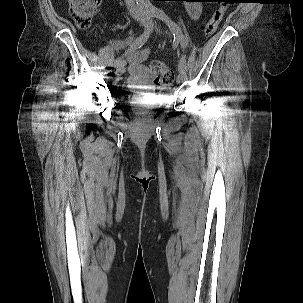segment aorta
<instances>
[{
	"label": "aorta",
	"instance_id": "aorta-1",
	"mask_svg": "<svg viewBox=\"0 0 303 303\" xmlns=\"http://www.w3.org/2000/svg\"><path fill=\"white\" fill-rule=\"evenodd\" d=\"M138 4L143 7H148L151 5L150 0H137Z\"/></svg>",
	"mask_w": 303,
	"mask_h": 303
}]
</instances>
